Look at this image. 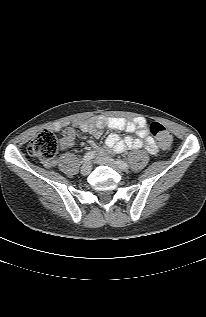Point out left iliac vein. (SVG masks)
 I'll return each mask as SVG.
<instances>
[{"mask_svg": "<svg viewBox=\"0 0 206 317\" xmlns=\"http://www.w3.org/2000/svg\"><path fill=\"white\" fill-rule=\"evenodd\" d=\"M96 162L99 164L108 165L119 172L121 171V168L118 166L117 162L108 156L98 157Z\"/></svg>", "mask_w": 206, "mask_h": 317, "instance_id": "obj_1", "label": "left iliac vein"}]
</instances>
